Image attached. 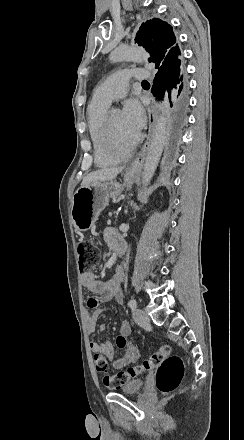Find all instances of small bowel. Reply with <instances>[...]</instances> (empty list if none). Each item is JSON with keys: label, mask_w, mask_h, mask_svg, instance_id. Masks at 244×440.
<instances>
[{"label": "small bowel", "mask_w": 244, "mask_h": 440, "mask_svg": "<svg viewBox=\"0 0 244 440\" xmlns=\"http://www.w3.org/2000/svg\"><path fill=\"white\" fill-rule=\"evenodd\" d=\"M104 240L106 244L114 249H117L119 245H122V239L118 231L114 228H107L104 231ZM123 282L124 271L119 267L114 276L109 281L97 280L93 273H82L81 283L82 286L92 293L87 300V306L93 311L87 317V331L89 334H94L96 330L99 333L106 331L105 325H99L97 327V320L99 314L104 310L103 304L115 301L120 303L123 299ZM130 326L127 321H123L119 333H125L129 341L128 348H120L124 350V354L121 357H116V349L111 342H97L91 340L89 343L90 349L96 353L104 354L109 360L112 361L115 369H122L125 366L134 363L137 360L138 354L134 344L129 340Z\"/></svg>", "instance_id": "c3829d8e"}]
</instances>
